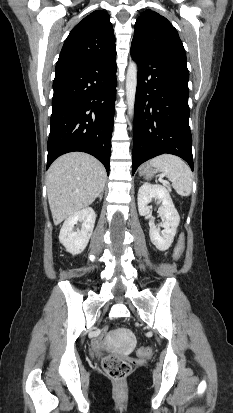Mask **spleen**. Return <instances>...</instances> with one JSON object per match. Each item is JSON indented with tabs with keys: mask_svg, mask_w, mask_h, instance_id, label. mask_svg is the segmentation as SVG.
<instances>
[{
	"mask_svg": "<svg viewBox=\"0 0 233 413\" xmlns=\"http://www.w3.org/2000/svg\"><path fill=\"white\" fill-rule=\"evenodd\" d=\"M150 165L157 168L172 182L178 195L189 196L192 191V172L189 166L177 156L161 155L153 158Z\"/></svg>",
	"mask_w": 233,
	"mask_h": 413,
	"instance_id": "obj_1",
	"label": "spleen"
}]
</instances>
